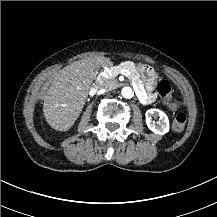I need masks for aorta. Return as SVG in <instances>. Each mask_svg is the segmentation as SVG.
<instances>
[{"label": "aorta", "instance_id": "762f6f07", "mask_svg": "<svg viewBox=\"0 0 217 217\" xmlns=\"http://www.w3.org/2000/svg\"><path fill=\"white\" fill-rule=\"evenodd\" d=\"M121 94L124 98H127V99H130L134 96V93L131 87H123L121 90Z\"/></svg>", "mask_w": 217, "mask_h": 217}]
</instances>
